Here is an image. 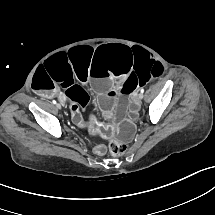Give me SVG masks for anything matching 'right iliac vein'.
Here are the masks:
<instances>
[{
    "instance_id": "1",
    "label": "right iliac vein",
    "mask_w": 215,
    "mask_h": 215,
    "mask_svg": "<svg viewBox=\"0 0 215 215\" xmlns=\"http://www.w3.org/2000/svg\"><path fill=\"white\" fill-rule=\"evenodd\" d=\"M57 109H61V105L59 103L56 104L55 106Z\"/></svg>"
}]
</instances>
